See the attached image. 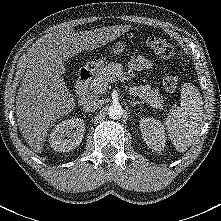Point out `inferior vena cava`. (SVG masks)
Segmentation results:
<instances>
[{
  "instance_id": "1",
  "label": "inferior vena cava",
  "mask_w": 221,
  "mask_h": 221,
  "mask_svg": "<svg viewBox=\"0 0 221 221\" xmlns=\"http://www.w3.org/2000/svg\"><path fill=\"white\" fill-rule=\"evenodd\" d=\"M101 105H102V101L99 98L94 97L84 103L83 110L85 112H93L97 108H99Z\"/></svg>"
}]
</instances>
